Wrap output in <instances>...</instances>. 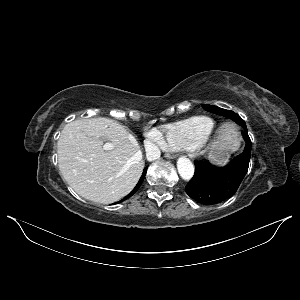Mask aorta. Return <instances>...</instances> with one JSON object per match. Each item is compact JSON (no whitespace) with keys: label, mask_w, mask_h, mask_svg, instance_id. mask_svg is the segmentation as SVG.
<instances>
[{"label":"aorta","mask_w":300,"mask_h":300,"mask_svg":"<svg viewBox=\"0 0 300 300\" xmlns=\"http://www.w3.org/2000/svg\"><path fill=\"white\" fill-rule=\"evenodd\" d=\"M177 169L180 177L184 180H190L194 175V165L186 157H180L178 159Z\"/></svg>","instance_id":"aorta-1"}]
</instances>
